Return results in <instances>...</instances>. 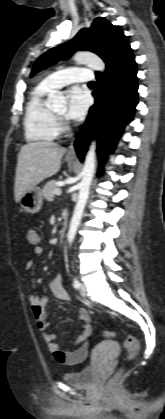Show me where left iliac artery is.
Masks as SVG:
<instances>
[{
  "mask_svg": "<svg viewBox=\"0 0 165 419\" xmlns=\"http://www.w3.org/2000/svg\"><path fill=\"white\" fill-rule=\"evenodd\" d=\"M73 286H74V288H76V289H79V288H80V283H79V281L77 280V278H74V279H73Z\"/></svg>",
  "mask_w": 165,
  "mask_h": 419,
  "instance_id": "left-iliac-artery-1",
  "label": "left iliac artery"
}]
</instances>
